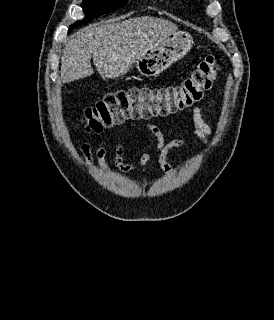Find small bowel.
Listing matches in <instances>:
<instances>
[{"label":"small bowel","instance_id":"small-bowel-1","mask_svg":"<svg viewBox=\"0 0 274 320\" xmlns=\"http://www.w3.org/2000/svg\"><path fill=\"white\" fill-rule=\"evenodd\" d=\"M211 106H213V101H211ZM191 117L195 135L198 138H200L203 142L207 143L212 131L210 126L205 122V120L202 117L201 106H195L192 109ZM143 128L154 136L155 146L153 150L142 154L139 161L140 167L145 169L150 163V161L156 158L160 168L164 173H166L167 175H174L175 171L173 166L168 161V155L171 150L186 146L185 141L181 139H173L167 141L161 129L155 124L148 123L143 125ZM191 149L193 153L197 154V150L195 148L192 147ZM81 151L83 160L88 166L91 167L94 165V163H96L98 167L106 174L110 176L113 174V169L106 159L107 151L105 146H97L93 154L91 144L86 142L82 144ZM124 152L125 149L123 139H119L114 152L115 167L119 171L125 173L135 171L137 169L135 165L126 163L124 161Z\"/></svg>","mask_w":274,"mask_h":320}]
</instances>
